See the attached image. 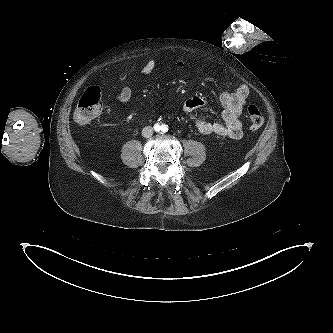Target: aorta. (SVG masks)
Here are the masks:
<instances>
[{"label":"aorta","instance_id":"aorta-1","mask_svg":"<svg viewBox=\"0 0 333 333\" xmlns=\"http://www.w3.org/2000/svg\"><path fill=\"white\" fill-rule=\"evenodd\" d=\"M166 126L165 125H162L160 127L157 128V131H160V132H165L166 131Z\"/></svg>","mask_w":333,"mask_h":333}]
</instances>
